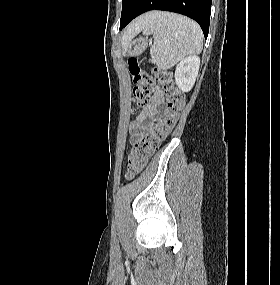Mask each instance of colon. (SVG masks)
Wrapping results in <instances>:
<instances>
[{
    "instance_id": "obj_1",
    "label": "colon",
    "mask_w": 280,
    "mask_h": 285,
    "mask_svg": "<svg viewBox=\"0 0 280 285\" xmlns=\"http://www.w3.org/2000/svg\"><path fill=\"white\" fill-rule=\"evenodd\" d=\"M133 80V100L135 107H145L151 100L154 85L157 83L165 96L166 113L154 122L150 129L133 144L127 160L128 179L136 177L146 166L148 159L174 128L178 116L184 108V95L176 87L171 72L154 67L151 73L143 70L136 59L128 63Z\"/></svg>"
}]
</instances>
